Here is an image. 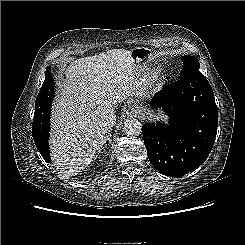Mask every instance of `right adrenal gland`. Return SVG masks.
<instances>
[{
    "label": "right adrenal gland",
    "instance_id": "obj_1",
    "mask_svg": "<svg viewBox=\"0 0 245 245\" xmlns=\"http://www.w3.org/2000/svg\"><path fill=\"white\" fill-rule=\"evenodd\" d=\"M110 137H111V133H108L107 138H106V141L111 142Z\"/></svg>",
    "mask_w": 245,
    "mask_h": 245
}]
</instances>
